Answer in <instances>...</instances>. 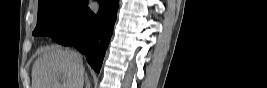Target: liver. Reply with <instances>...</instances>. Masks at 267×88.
<instances>
[{
  "instance_id": "liver-1",
  "label": "liver",
  "mask_w": 267,
  "mask_h": 88,
  "mask_svg": "<svg viewBox=\"0 0 267 88\" xmlns=\"http://www.w3.org/2000/svg\"><path fill=\"white\" fill-rule=\"evenodd\" d=\"M83 74V61L78 53L52 46L33 65L32 88H80Z\"/></svg>"
}]
</instances>
